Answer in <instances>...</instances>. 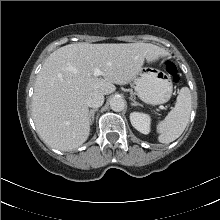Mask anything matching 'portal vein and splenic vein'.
Instances as JSON below:
<instances>
[{
  "label": "portal vein and splenic vein",
  "mask_w": 220,
  "mask_h": 220,
  "mask_svg": "<svg viewBox=\"0 0 220 220\" xmlns=\"http://www.w3.org/2000/svg\"><path fill=\"white\" fill-rule=\"evenodd\" d=\"M93 75L95 77H98V76L102 75V71L99 68H95L94 72H93ZM160 108L163 109V106H160Z\"/></svg>",
  "instance_id": "18ae733b"
}]
</instances>
